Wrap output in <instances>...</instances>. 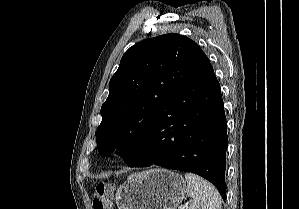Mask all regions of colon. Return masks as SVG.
Masks as SVG:
<instances>
[{
  "label": "colon",
  "instance_id": "colon-1",
  "mask_svg": "<svg viewBox=\"0 0 299 209\" xmlns=\"http://www.w3.org/2000/svg\"><path fill=\"white\" fill-rule=\"evenodd\" d=\"M115 186L111 183H99L93 189L94 209H112V195Z\"/></svg>",
  "mask_w": 299,
  "mask_h": 209
}]
</instances>
